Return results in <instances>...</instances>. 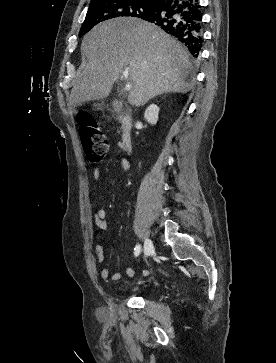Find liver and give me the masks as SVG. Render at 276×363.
Here are the masks:
<instances>
[{
  "label": "liver",
  "instance_id": "obj_1",
  "mask_svg": "<svg viewBox=\"0 0 276 363\" xmlns=\"http://www.w3.org/2000/svg\"><path fill=\"white\" fill-rule=\"evenodd\" d=\"M81 52L87 57L71 90L70 105L102 100L114 82L128 75V102L141 106L163 93H186L194 67L188 51L155 25L133 17L102 22L87 33Z\"/></svg>",
  "mask_w": 276,
  "mask_h": 363
}]
</instances>
